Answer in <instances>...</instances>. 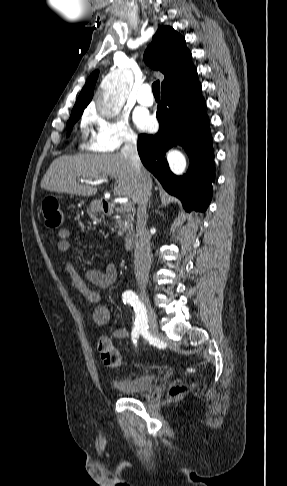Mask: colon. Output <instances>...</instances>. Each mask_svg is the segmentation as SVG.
<instances>
[{
	"mask_svg": "<svg viewBox=\"0 0 287 486\" xmlns=\"http://www.w3.org/2000/svg\"><path fill=\"white\" fill-rule=\"evenodd\" d=\"M44 222L49 228H58L63 221V213L59 201L53 196H46L42 201ZM97 348L102 362L110 368L121 365L122 359L118 349L108 336H101L97 341ZM185 391L184 386H175L171 389V396L178 397Z\"/></svg>",
	"mask_w": 287,
	"mask_h": 486,
	"instance_id": "5ec220e1",
	"label": "colon"
}]
</instances>
